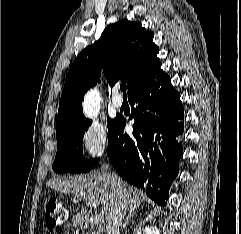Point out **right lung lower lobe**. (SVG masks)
<instances>
[{
	"label": "right lung lower lobe",
	"instance_id": "right-lung-lower-lobe-1",
	"mask_svg": "<svg viewBox=\"0 0 241 234\" xmlns=\"http://www.w3.org/2000/svg\"><path fill=\"white\" fill-rule=\"evenodd\" d=\"M133 135L124 133L126 119L117 117L107 155L119 175L166 205L170 184L179 171L184 111L170 77L160 68L129 95ZM153 186V188L151 187ZM160 188V190H158Z\"/></svg>",
	"mask_w": 241,
	"mask_h": 234
}]
</instances>
